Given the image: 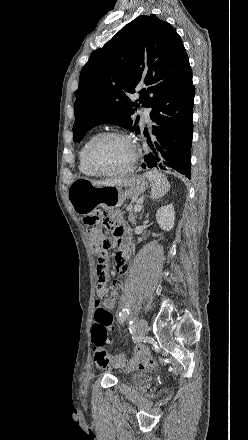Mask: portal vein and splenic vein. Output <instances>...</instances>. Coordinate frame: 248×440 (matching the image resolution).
Instances as JSON below:
<instances>
[{"mask_svg":"<svg viewBox=\"0 0 248 440\" xmlns=\"http://www.w3.org/2000/svg\"><path fill=\"white\" fill-rule=\"evenodd\" d=\"M141 209H142V205H141V204H136V205L134 206V211H135V212H140Z\"/></svg>","mask_w":248,"mask_h":440,"instance_id":"18ae733b","label":"portal vein and splenic vein"}]
</instances>
